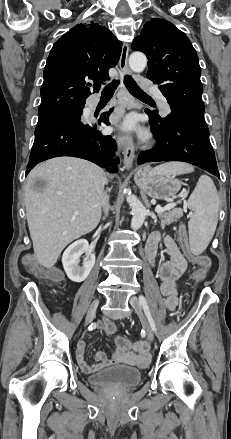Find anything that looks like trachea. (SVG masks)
Segmentation results:
<instances>
[{
    "mask_svg": "<svg viewBox=\"0 0 231 439\" xmlns=\"http://www.w3.org/2000/svg\"><path fill=\"white\" fill-rule=\"evenodd\" d=\"M119 81L115 80L112 83H110L108 86H106L102 91V97H112L114 94V91L116 90L118 86ZM124 84L128 91L136 98L145 100V99H151V97L145 93L134 81V79L131 76L126 75L124 77Z\"/></svg>",
    "mask_w": 231,
    "mask_h": 439,
    "instance_id": "trachea-1",
    "label": "trachea"
}]
</instances>
